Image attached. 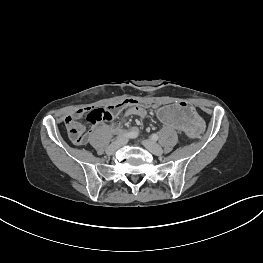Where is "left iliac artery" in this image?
I'll use <instances>...</instances> for the list:
<instances>
[{"mask_svg": "<svg viewBox=\"0 0 263 263\" xmlns=\"http://www.w3.org/2000/svg\"><path fill=\"white\" fill-rule=\"evenodd\" d=\"M151 138H152V140L157 141L159 137H158L157 134H153V135L151 136Z\"/></svg>", "mask_w": 263, "mask_h": 263, "instance_id": "1", "label": "left iliac artery"}]
</instances>
